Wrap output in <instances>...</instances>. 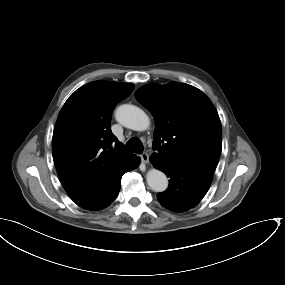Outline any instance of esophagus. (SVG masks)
Here are the masks:
<instances>
[{
	"label": "esophagus",
	"instance_id": "obj_1",
	"mask_svg": "<svg viewBox=\"0 0 285 285\" xmlns=\"http://www.w3.org/2000/svg\"><path fill=\"white\" fill-rule=\"evenodd\" d=\"M140 158L144 164H147L149 162V155L145 152L140 154Z\"/></svg>",
	"mask_w": 285,
	"mask_h": 285
}]
</instances>
